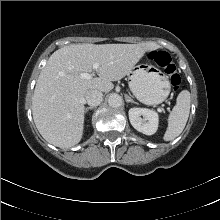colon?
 Here are the masks:
<instances>
[{
  "label": "colon",
  "instance_id": "1",
  "mask_svg": "<svg viewBox=\"0 0 220 220\" xmlns=\"http://www.w3.org/2000/svg\"><path fill=\"white\" fill-rule=\"evenodd\" d=\"M149 59L168 75L173 89L178 90L181 84V76L170 54L165 51H153L149 54Z\"/></svg>",
  "mask_w": 220,
  "mask_h": 220
}]
</instances>
